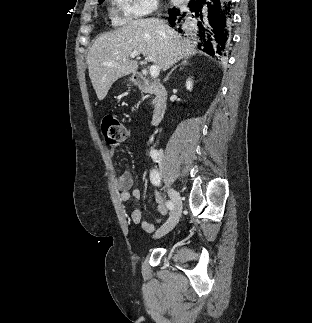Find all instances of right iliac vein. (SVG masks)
Masks as SVG:
<instances>
[{"label": "right iliac vein", "instance_id": "obj_1", "mask_svg": "<svg viewBox=\"0 0 312 323\" xmlns=\"http://www.w3.org/2000/svg\"><path fill=\"white\" fill-rule=\"evenodd\" d=\"M169 196L174 203V210L167 222L157 230L156 237H162L168 234L176 226L182 213L183 206L179 193L173 188H169Z\"/></svg>", "mask_w": 312, "mask_h": 323}]
</instances>
